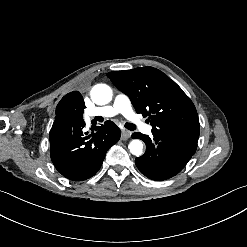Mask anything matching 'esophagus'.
I'll return each instance as SVG.
<instances>
[{"instance_id":"esophagus-1","label":"esophagus","mask_w":247,"mask_h":247,"mask_svg":"<svg viewBox=\"0 0 247 247\" xmlns=\"http://www.w3.org/2000/svg\"><path fill=\"white\" fill-rule=\"evenodd\" d=\"M130 136H131V133L128 131H122V133H121V139L122 140H127L128 138H130Z\"/></svg>"}]
</instances>
